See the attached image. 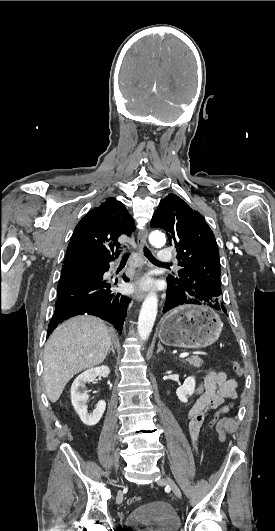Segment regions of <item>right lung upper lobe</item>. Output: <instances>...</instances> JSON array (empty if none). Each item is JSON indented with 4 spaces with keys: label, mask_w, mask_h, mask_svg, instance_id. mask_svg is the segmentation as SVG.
I'll use <instances>...</instances> for the list:
<instances>
[{
    "label": "right lung upper lobe",
    "mask_w": 275,
    "mask_h": 531,
    "mask_svg": "<svg viewBox=\"0 0 275 531\" xmlns=\"http://www.w3.org/2000/svg\"><path fill=\"white\" fill-rule=\"evenodd\" d=\"M134 221L124 204L114 197L85 215L75 227L67 248L65 265L105 261L118 256L122 234L131 235ZM115 251V254H112ZM115 256V257H116Z\"/></svg>",
    "instance_id": "1"
}]
</instances>
